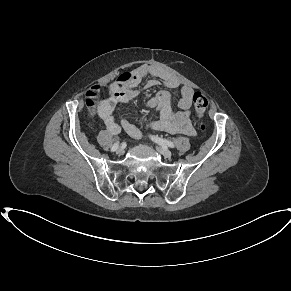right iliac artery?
Segmentation results:
<instances>
[{
    "instance_id": "obj_1",
    "label": "right iliac artery",
    "mask_w": 291,
    "mask_h": 291,
    "mask_svg": "<svg viewBox=\"0 0 291 291\" xmlns=\"http://www.w3.org/2000/svg\"><path fill=\"white\" fill-rule=\"evenodd\" d=\"M118 148H119V143L116 142V143L112 146L111 151H112V152H115V151L118 150Z\"/></svg>"
}]
</instances>
